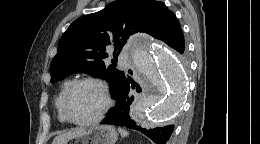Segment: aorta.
Segmentation results:
<instances>
[{"label":"aorta","mask_w":260,"mask_h":144,"mask_svg":"<svg viewBox=\"0 0 260 144\" xmlns=\"http://www.w3.org/2000/svg\"><path fill=\"white\" fill-rule=\"evenodd\" d=\"M128 48L136 70L155 88L136 101L137 121L143 127L162 122L182 104L186 78L180 59L163 43L142 37L132 39Z\"/></svg>","instance_id":"aorta-1"}]
</instances>
